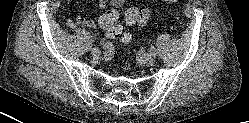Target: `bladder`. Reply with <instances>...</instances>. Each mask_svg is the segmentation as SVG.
<instances>
[{"instance_id":"1","label":"bladder","mask_w":249,"mask_h":123,"mask_svg":"<svg viewBox=\"0 0 249 123\" xmlns=\"http://www.w3.org/2000/svg\"><path fill=\"white\" fill-rule=\"evenodd\" d=\"M115 7H120L124 0H112Z\"/></svg>"}]
</instances>
